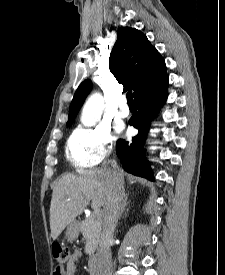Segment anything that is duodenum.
Listing matches in <instances>:
<instances>
[{"label":"duodenum","instance_id":"1","mask_svg":"<svg viewBox=\"0 0 225 275\" xmlns=\"http://www.w3.org/2000/svg\"><path fill=\"white\" fill-rule=\"evenodd\" d=\"M89 269L90 275H98L99 269V258L96 256H91L89 258Z\"/></svg>","mask_w":225,"mask_h":275}]
</instances>
